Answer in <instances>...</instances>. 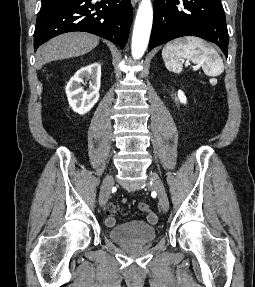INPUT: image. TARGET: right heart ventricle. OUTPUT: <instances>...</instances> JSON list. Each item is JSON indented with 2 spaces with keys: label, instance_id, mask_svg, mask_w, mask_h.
Here are the masks:
<instances>
[{
  "label": "right heart ventricle",
  "instance_id": "right-heart-ventricle-1",
  "mask_svg": "<svg viewBox=\"0 0 255 287\" xmlns=\"http://www.w3.org/2000/svg\"><path fill=\"white\" fill-rule=\"evenodd\" d=\"M102 48H122V47H102Z\"/></svg>",
  "mask_w": 255,
  "mask_h": 287
}]
</instances>
